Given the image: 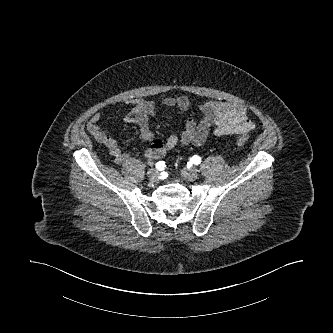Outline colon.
Listing matches in <instances>:
<instances>
[{
    "mask_svg": "<svg viewBox=\"0 0 333 333\" xmlns=\"http://www.w3.org/2000/svg\"><path fill=\"white\" fill-rule=\"evenodd\" d=\"M248 142V138L246 136H239L237 139H236V145L241 147V146H244L246 145Z\"/></svg>",
    "mask_w": 333,
    "mask_h": 333,
    "instance_id": "obj_1",
    "label": "colon"
}]
</instances>
